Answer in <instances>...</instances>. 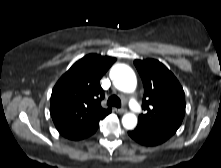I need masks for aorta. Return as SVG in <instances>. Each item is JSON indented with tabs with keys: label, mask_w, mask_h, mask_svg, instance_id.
<instances>
[{
	"label": "aorta",
	"mask_w": 221,
	"mask_h": 168,
	"mask_svg": "<svg viewBox=\"0 0 221 168\" xmlns=\"http://www.w3.org/2000/svg\"><path fill=\"white\" fill-rule=\"evenodd\" d=\"M110 78L117 89L125 93H132L137 86V78L134 71L126 64H116L110 71ZM137 117L133 113H126L122 117L125 129H134L137 125Z\"/></svg>",
	"instance_id": "762f6f07"
}]
</instances>
